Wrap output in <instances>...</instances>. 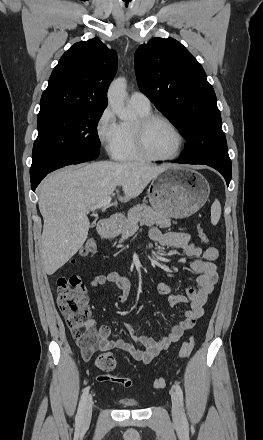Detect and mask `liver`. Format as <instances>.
I'll return each mask as SVG.
<instances>
[{"label":"liver","mask_w":263,"mask_h":440,"mask_svg":"<svg viewBox=\"0 0 263 440\" xmlns=\"http://www.w3.org/2000/svg\"><path fill=\"white\" fill-rule=\"evenodd\" d=\"M173 165L99 161L67 167L48 177L38 187L39 209L44 220L41 255L44 270L54 274L83 246L90 222L89 207L114 195L122 187L127 202Z\"/></svg>","instance_id":"6515ba94"}]
</instances>
